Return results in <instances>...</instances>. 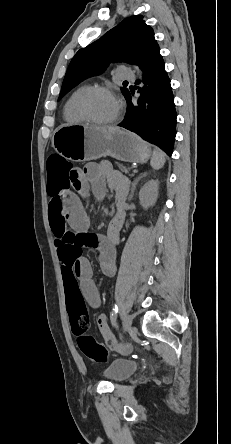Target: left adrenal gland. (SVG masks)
Returning <instances> with one entry per match:
<instances>
[{
  "label": "left adrenal gland",
  "mask_w": 231,
  "mask_h": 444,
  "mask_svg": "<svg viewBox=\"0 0 231 444\" xmlns=\"http://www.w3.org/2000/svg\"><path fill=\"white\" fill-rule=\"evenodd\" d=\"M146 176H147V173L145 172V173L141 174L138 178H136V179L133 181L132 186H131V193H130V195H129V197H128V201H131V200H132V198H133V194H134V190H135V188H136L137 183H138L142 178H144V177H146Z\"/></svg>",
  "instance_id": "1"
}]
</instances>
